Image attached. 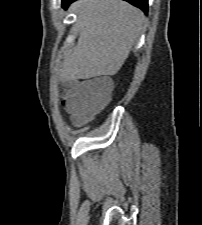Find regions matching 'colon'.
<instances>
[{"label":"colon","instance_id":"5ec220e1","mask_svg":"<svg viewBox=\"0 0 202 225\" xmlns=\"http://www.w3.org/2000/svg\"><path fill=\"white\" fill-rule=\"evenodd\" d=\"M71 87L87 100V105L91 111L103 108L110 100L113 86L102 84L99 78L91 81L72 82Z\"/></svg>","mask_w":202,"mask_h":225}]
</instances>
